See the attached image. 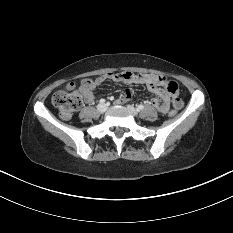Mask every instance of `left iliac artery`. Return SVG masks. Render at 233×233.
<instances>
[{
  "instance_id": "obj_1",
  "label": "left iliac artery",
  "mask_w": 233,
  "mask_h": 233,
  "mask_svg": "<svg viewBox=\"0 0 233 233\" xmlns=\"http://www.w3.org/2000/svg\"><path fill=\"white\" fill-rule=\"evenodd\" d=\"M144 108V106L142 104L137 106V110H142Z\"/></svg>"
}]
</instances>
